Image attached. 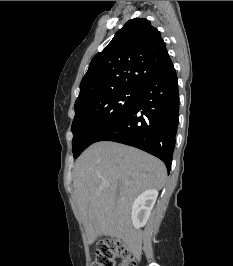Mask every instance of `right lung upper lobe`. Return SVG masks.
<instances>
[{
  "instance_id": "1",
  "label": "right lung upper lobe",
  "mask_w": 233,
  "mask_h": 266,
  "mask_svg": "<svg viewBox=\"0 0 233 266\" xmlns=\"http://www.w3.org/2000/svg\"><path fill=\"white\" fill-rule=\"evenodd\" d=\"M171 64L160 32L145 18L129 20L93 57L75 103L105 91L140 89Z\"/></svg>"
}]
</instances>
